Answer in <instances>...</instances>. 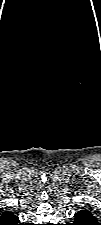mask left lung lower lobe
<instances>
[{
    "instance_id": "0a47b994",
    "label": "left lung lower lobe",
    "mask_w": 101,
    "mask_h": 225,
    "mask_svg": "<svg viewBox=\"0 0 101 225\" xmlns=\"http://www.w3.org/2000/svg\"><path fill=\"white\" fill-rule=\"evenodd\" d=\"M74 222L71 225H98L93 214L88 210H82L75 213Z\"/></svg>"
}]
</instances>
